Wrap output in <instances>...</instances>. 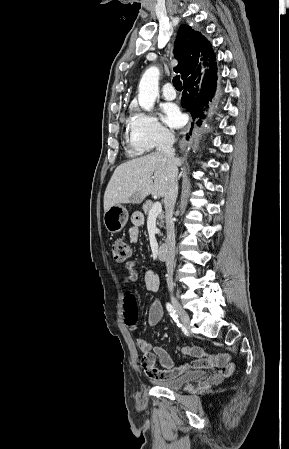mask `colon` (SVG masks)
Instances as JSON below:
<instances>
[{
  "label": "colon",
  "instance_id": "1",
  "mask_svg": "<svg viewBox=\"0 0 289 449\" xmlns=\"http://www.w3.org/2000/svg\"><path fill=\"white\" fill-rule=\"evenodd\" d=\"M112 254L113 258L117 262L126 261L131 255V248L128 243L123 240H115L112 244ZM124 308L126 310V320L128 323L135 322L136 312L138 310L139 303L135 301L133 297H128L124 303Z\"/></svg>",
  "mask_w": 289,
  "mask_h": 449
}]
</instances>
